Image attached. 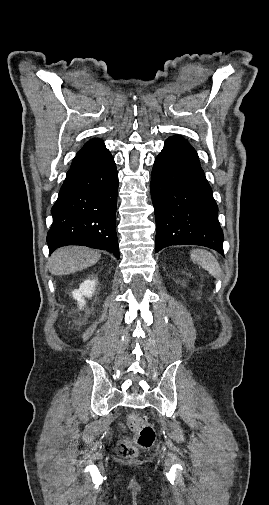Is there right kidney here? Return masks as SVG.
<instances>
[{
	"label": "right kidney",
	"mask_w": 269,
	"mask_h": 505,
	"mask_svg": "<svg viewBox=\"0 0 269 505\" xmlns=\"http://www.w3.org/2000/svg\"><path fill=\"white\" fill-rule=\"evenodd\" d=\"M96 281L95 280H85L78 290L72 292V296L78 301L80 309L85 305L84 296L91 298L95 290Z\"/></svg>",
	"instance_id": "obj_1"
}]
</instances>
